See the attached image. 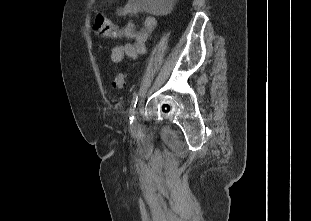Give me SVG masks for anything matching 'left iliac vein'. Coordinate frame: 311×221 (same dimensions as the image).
<instances>
[{
  "label": "left iliac vein",
  "instance_id": "obj_1",
  "mask_svg": "<svg viewBox=\"0 0 311 221\" xmlns=\"http://www.w3.org/2000/svg\"><path fill=\"white\" fill-rule=\"evenodd\" d=\"M138 127H139L138 116L135 115V118H134L133 122L130 123V129L132 131H136Z\"/></svg>",
  "mask_w": 311,
  "mask_h": 221
}]
</instances>
